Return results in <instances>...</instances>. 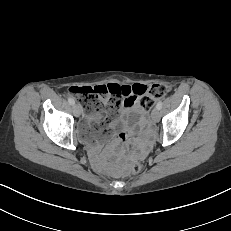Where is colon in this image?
<instances>
[{
    "instance_id": "colon-1",
    "label": "colon",
    "mask_w": 231,
    "mask_h": 231,
    "mask_svg": "<svg viewBox=\"0 0 231 231\" xmlns=\"http://www.w3.org/2000/svg\"><path fill=\"white\" fill-rule=\"evenodd\" d=\"M130 89L134 94L133 96H128ZM130 89L118 84H106L94 87L73 86L69 92L86 112L104 110L107 116L124 105L125 100H127L128 107H132L136 101L144 110L148 111L152 108L155 99L168 93V87L163 84H153L149 87L135 84ZM125 137V134H121L122 139ZM141 170L142 164L140 162H135L131 167L133 173H139Z\"/></svg>"
}]
</instances>
